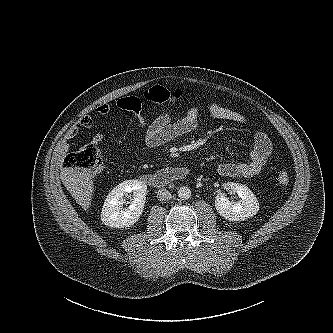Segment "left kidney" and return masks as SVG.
I'll use <instances>...</instances> for the list:
<instances>
[{
	"label": "left kidney",
	"mask_w": 333,
	"mask_h": 333,
	"mask_svg": "<svg viewBox=\"0 0 333 333\" xmlns=\"http://www.w3.org/2000/svg\"><path fill=\"white\" fill-rule=\"evenodd\" d=\"M223 186L225 189H231L240 197L238 202H234L222 194L216 196L215 208L223 218L229 221H244L257 214L258 200L246 185L228 182Z\"/></svg>",
	"instance_id": "obj_1"
}]
</instances>
